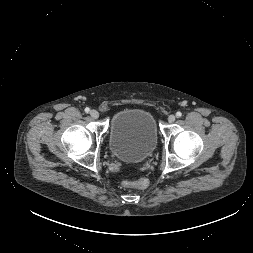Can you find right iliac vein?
I'll list each match as a JSON object with an SVG mask.
<instances>
[{"mask_svg": "<svg viewBox=\"0 0 253 253\" xmlns=\"http://www.w3.org/2000/svg\"><path fill=\"white\" fill-rule=\"evenodd\" d=\"M90 116H91L92 118H94V119H97V118L99 117V113H98V111H96V110H91V111H90Z\"/></svg>", "mask_w": 253, "mask_h": 253, "instance_id": "obj_1", "label": "right iliac vein"}]
</instances>
